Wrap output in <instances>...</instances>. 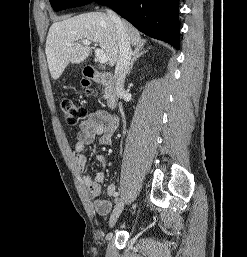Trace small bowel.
Segmentation results:
<instances>
[{
	"instance_id": "obj_1",
	"label": "small bowel",
	"mask_w": 247,
	"mask_h": 257,
	"mask_svg": "<svg viewBox=\"0 0 247 257\" xmlns=\"http://www.w3.org/2000/svg\"><path fill=\"white\" fill-rule=\"evenodd\" d=\"M118 127V120L115 116L104 112L94 111L80 124L77 133V141L74 146L73 155L77 168L80 172H84L87 167V159L84 155L85 148L92 144L95 138L99 137V144L109 146L112 143V136ZM97 161L102 167H106L107 160L104 155H98ZM105 179V172L99 171L94 176L84 175L83 181L87 186L96 212L100 215H107L112 209V202L109 200L99 199L101 192V183ZM109 196L115 197L117 188L114 183H110L107 187Z\"/></svg>"
}]
</instances>
